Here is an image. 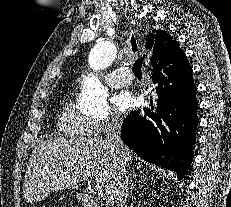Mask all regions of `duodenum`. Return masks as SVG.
I'll list each match as a JSON object with an SVG mask.
<instances>
[{
	"label": "duodenum",
	"instance_id": "1",
	"mask_svg": "<svg viewBox=\"0 0 231 207\" xmlns=\"http://www.w3.org/2000/svg\"><path fill=\"white\" fill-rule=\"evenodd\" d=\"M80 201L83 207H97L95 199L87 193L80 194Z\"/></svg>",
	"mask_w": 231,
	"mask_h": 207
}]
</instances>
